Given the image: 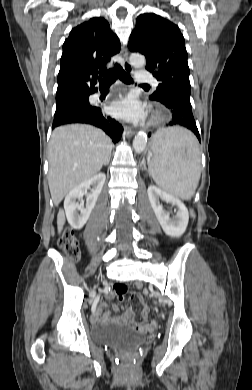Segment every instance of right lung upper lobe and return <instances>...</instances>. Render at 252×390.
<instances>
[{
  "instance_id": "obj_1",
  "label": "right lung upper lobe",
  "mask_w": 252,
  "mask_h": 390,
  "mask_svg": "<svg viewBox=\"0 0 252 390\" xmlns=\"http://www.w3.org/2000/svg\"><path fill=\"white\" fill-rule=\"evenodd\" d=\"M119 51V39L104 18H92L72 29L63 44L56 102L95 92L97 80Z\"/></svg>"
}]
</instances>
